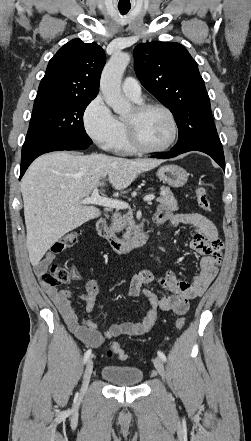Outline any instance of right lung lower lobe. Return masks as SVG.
I'll return each instance as SVG.
<instances>
[{
  "label": "right lung lower lobe",
  "mask_w": 251,
  "mask_h": 441,
  "mask_svg": "<svg viewBox=\"0 0 251 441\" xmlns=\"http://www.w3.org/2000/svg\"><path fill=\"white\" fill-rule=\"evenodd\" d=\"M91 144L70 143L61 141L55 137L47 136L41 133H27L25 142L22 147L20 178L24 175L29 165L38 156L61 150H83L90 147Z\"/></svg>",
  "instance_id": "1"
}]
</instances>
